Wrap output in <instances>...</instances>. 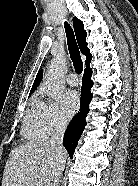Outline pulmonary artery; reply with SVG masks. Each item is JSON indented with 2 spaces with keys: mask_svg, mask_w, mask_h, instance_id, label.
Masks as SVG:
<instances>
[{
  "mask_svg": "<svg viewBox=\"0 0 138 186\" xmlns=\"http://www.w3.org/2000/svg\"><path fill=\"white\" fill-rule=\"evenodd\" d=\"M66 80L70 86H77L79 83L78 77L75 74H69Z\"/></svg>",
  "mask_w": 138,
  "mask_h": 186,
  "instance_id": "e3ab8cb5",
  "label": "pulmonary artery"
}]
</instances>
